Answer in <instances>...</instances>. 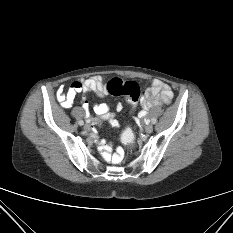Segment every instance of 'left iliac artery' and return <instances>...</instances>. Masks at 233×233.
<instances>
[{"mask_svg":"<svg viewBox=\"0 0 233 233\" xmlns=\"http://www.w3.org/2000/svg\"><path fill=\"white\" fill-rule=\"evenodd\" d=\"M151 123L155 125V124L157 123V122H156V119H155V118H152V119H151Z\"/></svg>","mask_w":233,"mask_h":233,"instance_id":"obj_1","label":"left iliac artery"}]
</instances>
